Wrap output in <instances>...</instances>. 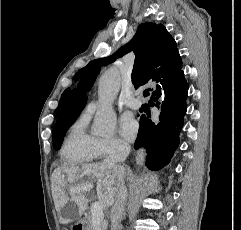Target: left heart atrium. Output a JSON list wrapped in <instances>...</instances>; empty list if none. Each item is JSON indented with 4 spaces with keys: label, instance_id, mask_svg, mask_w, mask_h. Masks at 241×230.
Wrapping results in <instances>:
<instances>
[{
    "label": "left heart atrium",
    "instance_id": "left-heart-atrium-1",
    "mask_svg": "<svg viewBox=\"0 0 241 230\" xmlns=\"http://www.w3.org/2000/svg\"><path fill=\"white\" fill-rule=\"evenodd\" d=\"M119 131L123 138L128 141H132L136 137L138 125L132 115L128 113L122 115L119 124Z\"/></svg>",
    "mask_w": 241,
    "mask_h": 230
}]
</instances>
